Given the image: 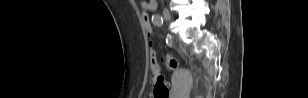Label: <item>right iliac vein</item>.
I'll return each instance as SVG.
<instances>
[{
    "instance_id": "right-iliac-vein-1",
    "label": "right iliac vein",
    "mask_w": 308,
    "mask_h": 98,
    "mask_svg": "<svg viewBox=\"0 0 308 98\" xmlns=\"http://www.w3.org/2000/svg\"><path fill=\"white\" fill-rule=\"evenodd\" d=\"M162 14L167 21L171 20V14L167 8H163Z\"/></svg>"
}]
</instances>
